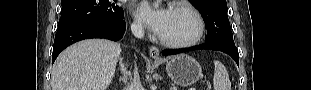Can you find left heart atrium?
Returning <instances> with one entry per match:
<instances>
[{"label": "left heart atrium", "mask_w": 311, "mask_h": 90, "mask_svg": "<svg viewBox=\"0 0 311 90\" xmlns=\"http://www.w3.org/2000/svg\"><path fill=\"white\" fill-rule=\"evenodd\" d=\"M138 14L145 24L160 35L169 18L170 11L165 8H155L150 2H142L138 6Z\"/></svg>", "instance_id": "1"}]
</instances>
